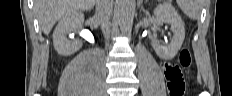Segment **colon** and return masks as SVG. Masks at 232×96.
<instances>
[{
  "label": "colon",
  "instance_id": "obj_1",
  "mask_svg": "<svg viewBox=\"0 0 232 96\" xmlns=\"http://www.w3.org/2000/svg\"><path fill=\"white\" fill-rule=\"evenodd\" d=\"M191 64V54L188 43H185L179 54L178 63L171 64V68H164L165 76L168 81L170 96H182L185 83L181 68L189 67Z\"/></svg>",
  "mask_w": 232,
  "mask_h": 96
}]
</instances>
